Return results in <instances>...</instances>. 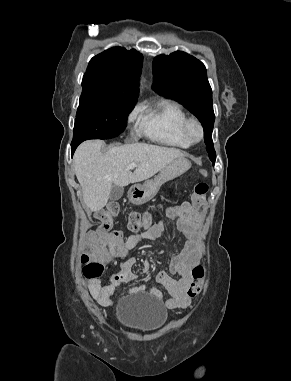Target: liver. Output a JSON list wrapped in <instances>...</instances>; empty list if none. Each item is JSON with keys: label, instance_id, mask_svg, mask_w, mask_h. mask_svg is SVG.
<instances>
[{"label": "liver", "instance_id": "liver-1", "mask_svg": "<svg viewBox=\"0 0 291 381\" xmlns=\"http://www.w3.org/2000/svg\"><path fill=\"white\" fill-rule=\"evenodd\" d=\"M102 141L83 142L74 155L76 177L82 187L86 206L97 212L103 209L114 185L124 187L149 179L173 160L185 154L175 148L145 143L116 146L101 153ZM136 164L132 173L128 166Z\"/></svg>", "mask_w": 291, "mask_h": 381}]
</instances>
